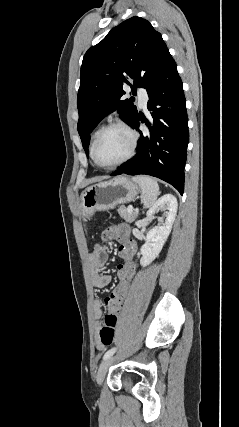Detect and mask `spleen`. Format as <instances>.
Masks as SVG:
<instances>
[{"label":"spleen","mask_w":239,"mask_h":427,"mask_svg":"<svg viewBox=\"0 0 239 427\" xmlns=\"http://www.w3.org/2000/svg\"><path fill=\"white\" fill-rule=\"evenodd\" d=\"M132 180L141 188V202L145 208L152 207L159 196V185L156 180L149 176L138 175Z\"/></svg>","instance_id":"1"}]
</instances>
